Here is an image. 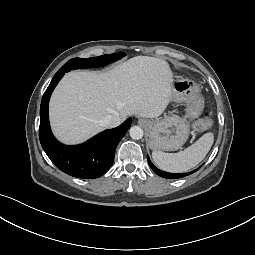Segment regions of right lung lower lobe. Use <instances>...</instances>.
<instances>
[{"mask_svg":"<svg viewBox=\"0 0 255 255\" xmlns=\"http://www.w3.org/2000/svg\"><path fill=\"white\" fill-rule=\"evenodd\" d=\"M66 72V70H62L55 74L42 97L40 142L47 156L61 171L77 178H98L110 169L116 147L129 129L131 118H128L120 126L105 130L80 145L66 146L58 142L50 129L48 103L52 91Z\"/></svg>","mask_w":255,"mask_h":255,"instance_id":"obj_1","label":"right lung lower lobe"}]
</instances>
